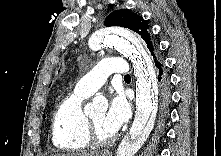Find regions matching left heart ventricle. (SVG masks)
I'll list each match as a JSON object with an SVG mask.
<instances>
[{"label":"left heart ventricle","instance_id":"1","mask_svg":"<svg viewBox=\"0 0 221 156\" xmlns=\"http://www.w3.org/2000/svg\"><path fill=\"white\" fill-rule=\"evenodd\" d=\"M105 115L106 111L100 110L90 116V119L93 121L98 134L103 138H107L113 135L110 131L106 129L104 125Z\"/></svg>","mask_w":221,"mask_h":156}]
</instances>
